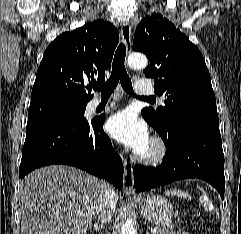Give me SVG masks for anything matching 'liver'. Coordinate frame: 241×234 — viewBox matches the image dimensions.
I'll list each match as a JSON object with an SVG mask.
<instances>
[{"label":"liver","mask_w":241,"mask_h":234,"mask_svg":"<svg viewBox=\"0 0 241 234\" xmlns=\"http://www.w3.org/2000/svg\"><path fill=\"white\" fill-rule=\"evenodd\" d=\"M101 183L63 165L28 174L19 192L21 234H85L101 203Z\"/></svg>","instance_id":"6515ba94"}]
</instances>
